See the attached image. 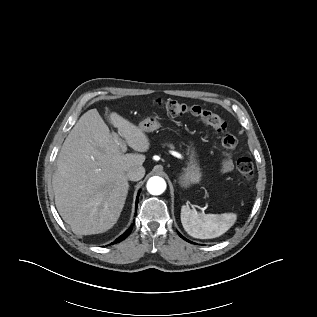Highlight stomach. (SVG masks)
<instances>
[{
    "instance_id": "1",
    "label": "stomach",
    "mask_w": 317,
    "mask_h": 317,
    "mask_svg": "<svg viewBox=\"0 0 317 317\" xmlns=\"http://www.w3.org/2000/svg\"><path fill=\"white\" fill-rule=\"evenodd\" d=\"M139 128L143 132H153L160 128L158 117L154 114L147 117L145 120L140 122ZM189 160L187 167L183 169L182 174L179 177V184L182 188H189L191 185L198 183L201 180L202 173L198 161V156L195 148L191 144L189 152Z\"/></svg>"
}]
</instances>
